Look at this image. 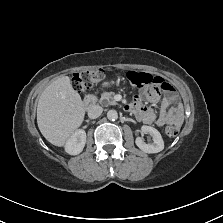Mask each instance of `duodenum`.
<instances>
[{
  "mask_svg": "<svg viewBox=\"0 0 223 223\" xmlns=\"http://www.w3.org/2000/svg\"><path fill=\"white\" fill-rule=\"evenodd\" d=\"M97 99H98L97 92H89V93H86L84 96V103L86 106L91 107L96 104Z\"/></svg>",
  "mask_w": 223,
  "mask_h": 223,
  "instance_id": "410a0bca",
  "label": "duodenum"
}]
</instances>
